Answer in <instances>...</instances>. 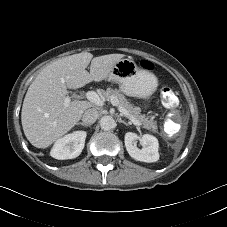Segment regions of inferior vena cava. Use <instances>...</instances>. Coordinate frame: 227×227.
I'll return each instance as SVG.
<instances>
[{
    "mask_svg": "<svg viewBox=\"0 0 227 227\" xmlns=\"http://www.w3.org/2000/svg\"><path fill=\"white\" fill-rule=\"evenodd\" d=\"M98 116H99L98 110L94 108L87 109L82 116V121L85 124L91 125L97 120Z\"/></svg>",
    "mask_w": 227,
    "mask_h": 227,
    "instance_id": "obj_1",
    "label": "inferior vena cava"
}]
</instances>
